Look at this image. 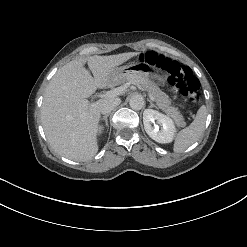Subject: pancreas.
<instances>
[{
  "mask_svg": "<svg viewBox=\"0 0 247 247\" xmlns=\"http://www.w3.org/2000/svg\"><path fill=\"white\" fill-rule=\"evenodd\" d=\"M124 81L134 83L142 87L148 92V94H151L154 97L157 106L167 115L172 117L179 127L185 126L186 123L183 116L177 108L171 105V100L169 99L168 95L162 92L160 88L148 77L143 75L130 74L126 76Z\"/></svg>",
  "mask_w": 247,
  "mask_h": 247,
  "instance_id": "cf45deb5",
  "label": "pancreas"
}]
</instances>
